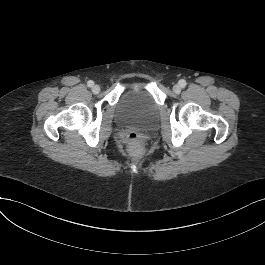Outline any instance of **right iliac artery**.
<instances>
[{
	"instance_id": "1",
	"label": "right iliac artery",
	"mask_w": 265,
	"mask_h": 265,
	"mask_svg": "<svg viewBox=\"0 0 265 265\" xmlns=\"http://www.w3.org/2000/svg\"><path fill=\"white\" fill-rule=\"evenodd\" d=\"M88 87H92L94 85V82L92 80L87 82Z\"/></svg>"
}]
</instances>
